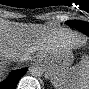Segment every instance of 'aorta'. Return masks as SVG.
<instances>
[{
	"instance_id": "762f6f07",
	"label": "aorta",
	"mask_w": 89,
	"mask_h": 89,
	"mask_svg": "<svg viewBox=\"0 0 89 89\" xmlns=\"http://www.w3.org/2000/svg\"><path fill=\"white\" fill-rule=\"evenodd\" d=\"M29 73L34 77H39L44 73V68L38 63H34L29 67Z\"/></svg>"
}]
</instances>
